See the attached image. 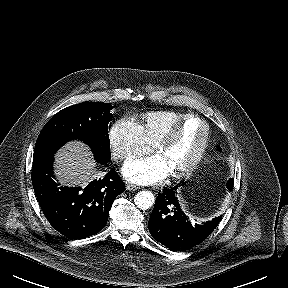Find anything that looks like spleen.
I'll return each mask as SVG.
<instances>
[{
  "label": "spleen",
  "mask_w": 288,
  "mask_h": 288,
  "mask_svg": "<svg viewBox=\"0 0 288 288\" xmlns=\"http://www.w3.org/2000/svg\"><path fill=\"white\" fill-rule=\"evenodd\" d=\"M182 201H183V200H182ZM182 206H183V209L186 210V205H185V202H184V201L182 202Z\"/></svg>",
  "instance_id": "3e777b00"
}]
</instances>
